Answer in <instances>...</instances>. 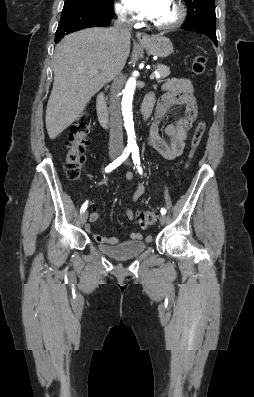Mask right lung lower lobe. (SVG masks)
I'll use <instances>...</instances> for the list:
<instances>
[{
  "label": "right lung lower lobe",
  "instance_id": "obj_1",
  "mask_svg": "<svg viewBox=\"0 0 254 397\" xmlns=\"http://www.w3.org/2000/svg\"><path fill=\"white\" fill-rule=\"evenodd\" d=\"M114 17V11L97 12L71 2H65L56 31L55 43L65 35L88 27L107 26Z\"/></svg>",
  "mask_w": 254,
  "mask_h": 397
}]
</instances>
